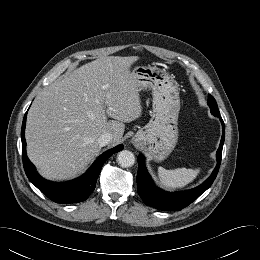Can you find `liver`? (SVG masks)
Here are the masks:
<instances>
[{
  "instance_id": "1",
  "label": "liver",
  "mask_w": 260,
  "mask_h": 260,
  "mask_svg": "<svg viewBox=\"0 0 260 260\" xmlns=\"http://www.w3.org/2000/svg\"><path fill=\"white\" fill-rule=\"evenodd\" d=\"M137 56L102 57L46 87L27 116V155L49 180H67L99 154L98 138L121 141L124 123L142 112L137 82L130 72ZM107 115L113 120H108Z\"/></svg>"
}]
</instances>
